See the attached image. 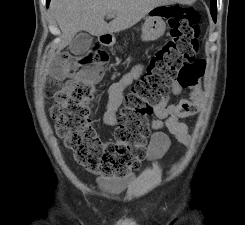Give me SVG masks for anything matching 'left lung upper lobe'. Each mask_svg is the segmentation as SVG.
Masks as SVG:
<instances>
[{
  "label": "left lung upper lobe",
  "mask_w": 245,
  "mask_h": 225,
  "mask_svg": "<svg viewBox=\"0 0 245 225\" xmlns=\"http://www.w3.org/2000/svg\"><path fill=\"white\" fill-rule=\"evenodd\" d=\"M210 12H211L213 20L216 21V14H217L216 0H211Z\"/></svg>",
  "instance_id": "left-lung-upper-lobe-1"
}]
</instances>
